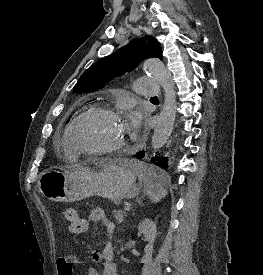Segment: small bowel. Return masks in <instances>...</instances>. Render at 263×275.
<instances>
[{
	"label": "small bowel",
	"instance_id": "obj_1",
	"mask_svg": "<svg viewBox=\"0 0 263 275\" xmlns=\"http://www.w3.org/2000/svg\"><path fill=\"white\" fill-rule=\"evenodd\" d=\"M91 222L100 223L103 227L104 234L110 239L114 233V223L109 220L102 208L91 210L87 219L78 218L68 226L70 234H82L88 231ZM92 261L101 264V272L91 266L88 269V275H118L117 265L114 262V251L110 242H106L100 249L93 251ZM80 263V259L75 260V264Z\"/></svg>",
	"mask_w": 263,
	"mask_h": 275
}]
</instances>
